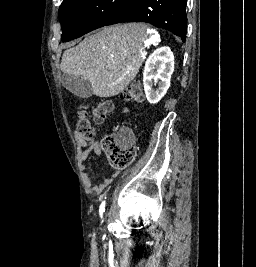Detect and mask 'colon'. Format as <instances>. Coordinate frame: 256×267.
<instances>
[{
    "label": "colon",
    "mask_w": 256,
    "mask_h": 267,
    "mask_svg": "<svg viewBox=\"0 0 256 267\" xmlns=\"http://www.w3.org/2000/svg\"><path fill=\"white\" fill-rule=\"evenodd\" d=\"M143 87L134 80L129 87L122 92V97L127 103H141L143 101ZM114 104L112 101H103L88 109L79 110L77 115V131L84 138H93L94 128L90 118L97 123H102L111 114ZM132 134L128 128L119 131L115 135L105 136L101 140V147L106 152L109 163L115 168H124L135 160L137 145L132 141Z\"/></svg>",
    "instance_id": "1"
}]
</instances>
